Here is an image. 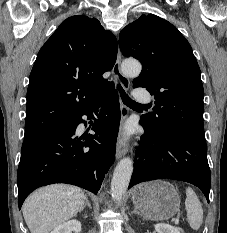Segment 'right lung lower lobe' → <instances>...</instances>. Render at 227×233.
<instances>
[{"mask_svg": "<svg viewBox=\"0 0 227 233\" xmlns=\"http://www.w3.org/2000/svg\"><path fill=\"white\" fill-rule=\"evenodd\" d=\"M94 135L79 136L76 128L93 118ZM120 122L117 92L112 90L83 113L65 122L25 137L17 173L18 205L36 188L67 183L97 194L104 175L114 162L116 139Z\"/></svg>", "mask_w": 227, "mask_h": 233, "instance_id": "98d812e1", "label": "right lung lower lobe"}]
</instances>
